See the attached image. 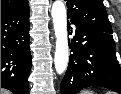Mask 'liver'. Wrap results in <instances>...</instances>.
<instances>
[{"mask_svg":"<svg viewBox=\"0 0 121 94\" xmlns=\"http://www.w3.org/2000/svg\"><path fill=\"white\" fill-rule=\"evenodd\" d=\"M1 94H10V92L1 88Z\"/></svg>","mask_w":121,"mask_h":94,"instance_id":"liver-1","label":"liver"}]
</instances>
